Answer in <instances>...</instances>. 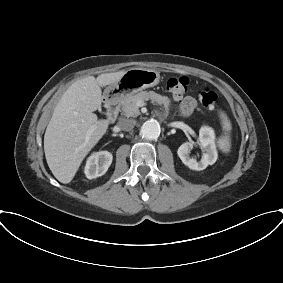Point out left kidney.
I'll list each match as a JSON object with an SVG mask.
<instances>
[{
	"mask_svg": "<svg viewBox=\"0 0 283 283\" xmlns=\"http://www.w3.org/2000/svg\"><path fill=\"white\" fill-rule=\"evenodd\" d=\"M199 144L204 149L203 156L200 161L191 158L189 153L193 148V143H183L177 151L181 161L192 170H204L208 165L216 162L218 153L215 145V134L212 128L204 126L199 130Z\"/></svg>",
	"mask_w": 283,
	"mask_h": 283,
	"instance_id": "5707ae66",
	"label": "left kidney"
}]
</instances>
